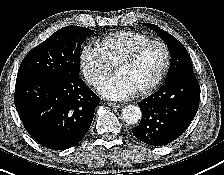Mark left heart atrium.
Listing matches in <instances>:
<instances>
[{"label": "left heart atrium", "mask_w": 224, "mask_h": 175, "mask_svg": "<svg viewBox=\"0 0 224 175\" xmlns=\"http://www.w3.org/2000/svg\"><path fill=\"white\" fill-rule=\"evenodd\" d=\"M99 92L108 99L125 100L136 91L121 75L115 74L101 83Z\"/></svg>", "instance_id": "obj_1"}]
</instances>
